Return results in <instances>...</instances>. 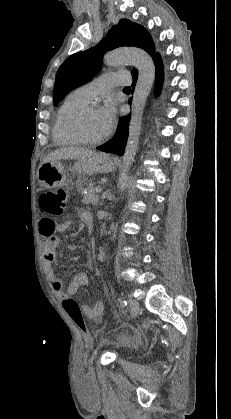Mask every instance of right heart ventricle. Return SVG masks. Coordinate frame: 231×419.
Wrapping results in <instances>:
<instances>
[{
    "label": "right heart ventricle",
    "instance_id": "1",
    "mask_svg": "<svg viewBox=\"0 0 231 419\" xmlns=\"http://www.w3.org/2000/svg\"><path fill=\"white\" fill-rule=\"evenodd\" d=\"M90 102L78 89L71 92L60 105L56 112L52 136L57 144L74 145L78 141L73 139L65 130V120L67 116L77 108Z\"/></svg>",
    "mask_w": 231,
    "mask_h": 419
}]
</instances>
